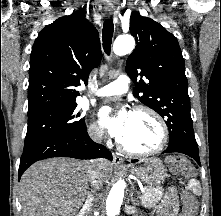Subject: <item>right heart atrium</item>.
Listing matches in <instances>:
<instances>
[{
    "label": "right heart atrium",
    "instance_id": "right-heart-atrium-1",
    "mask_svg": "<svg viewBox=\"0 0 221 216\" xmlns=\"http://www.w3.org/2000/svg\"><path fill=\"white\" fill-rule=\"evenodd\" d=\"M87 131L92 141L100 142L103 139V131L95 122L89 123Z\"/></svg>",
    "mask_w": 221,
    "mask_h": 216
}]
</instances>
